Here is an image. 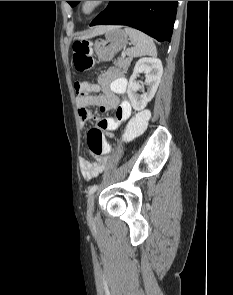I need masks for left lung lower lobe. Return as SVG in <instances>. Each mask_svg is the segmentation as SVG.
<instances>
[{"label":"left lung lower lobe","instance_id":"1","mask_svg":"<svg viewBox=\"0 0 233 295\" xmlns=\"http://www.w3.org/2000/svg\"><path fill=\"white\" fill-rule=\"evenodd\" d=\"M177 1H110L90 24L127 25L154 37L171 41Z\"/></svg>","mask_w":233,"mask_h":295}]
</instances>
